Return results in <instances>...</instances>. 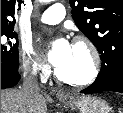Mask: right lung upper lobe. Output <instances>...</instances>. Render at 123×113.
I'll use <instances>...</instances> for the list:
<instances>
[{
    "label": "right lung upper lobe",
    "mask_w": 123,
    "mask_h": 113,
    "mask_svg": "<svg viewBox=\"0 0 123 113\" xmlns=\"http://www.w3.org/2000/svg\"><path fill=\"white\" fill-rule=\"evenodd\" d=\"M21 9V0H1V29L14 28V14Z\"/></svg>",
    "instance_id": "1"
}]
</instances>
